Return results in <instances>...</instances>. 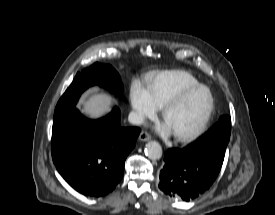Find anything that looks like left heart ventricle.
Here are the masks:
<instances>
[{
	"label": "left heart ventricle",
	"mask_w": 275,
	"mask_h": 215,
	"mask_svg": "<svg viewBox=\"0 0 275 215\" xmlns=\"http://www.w3.org/2000/svg\"><path fill=\"white\" fill-rule=\"evenodd\" d=\"M209 105L208 92L195 90L168 113L165 122L173 134L187 133L199 125Z\"/></svg>",
	"instance_id": "obj_1"
}]
</instances>
